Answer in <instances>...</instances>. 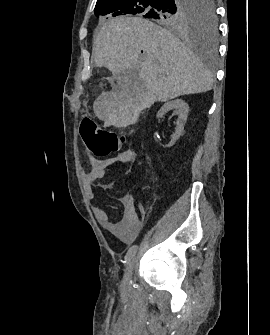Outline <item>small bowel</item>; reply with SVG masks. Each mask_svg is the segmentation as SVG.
Wrapping results in <instances>:
<instances>
[{"label": "small bowel", "instance_id": "small-bowel-1", "mask_svg": "<svg viewBox=\"0 0 270 335\" xmlns=\"http://www.w3.org/2000/svg\"><path fill=\"white\" fill-rule=\"evenodd\" d=\"M136 154L132 149L124 150L114 157L108 159H97L94 157L88 158L89 168L84 171L83 179L89 190L101 178L104 177L106 170L115 164H127L135 160ZM106 188L107 186H101ZM120 203L124 207V213L120 221L114 222L111 220L108 213L98 207H93V213L96 219L115 237L123 242L133 241L140 233L143 227V221L139 218L134 197L131 192H127L119 197Z\"/></svg>", "mask_w": 270, "mask_h": 335}]
</instances>
